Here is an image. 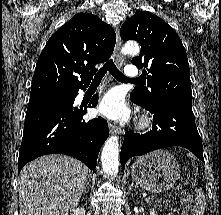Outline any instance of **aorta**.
<instances>
[{
    "mask_svg": "<svg viewBox=\"0 0 221 215\" xmlns=\"http://www.w3.org/2000/svg\"><path fill=\"white\" fill-rule=\"evenodd\" d=\"M139 45L136 42H127L121 49V53L126 55H137ZM102 169L108 176H116L119 168V138L109 137L101 153Z\"/></svg>",
    "mask_w": 221,
    "mask_h": 215,
    "instance_id": "762f6f07",
    "label": "aorta"
}]
</instances>
